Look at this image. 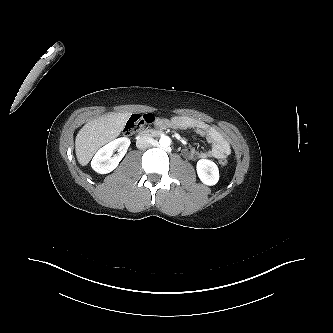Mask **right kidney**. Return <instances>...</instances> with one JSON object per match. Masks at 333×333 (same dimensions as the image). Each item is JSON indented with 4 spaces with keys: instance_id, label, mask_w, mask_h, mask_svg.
<instances>
[{
    "instance_id": "obj_1",
    "label": "right kidney",
    "mask_w": 333,
    "mask_h": 333,
    "mask_svg": "<svg viewBox=\"0 0 333 333\" xmlns=\"http://www.w3.org/2000/svg\"><path fill=\"white\" fill-rule=\"evenodd\" d=\"M130 145V139L126 137L118 138L103 146L95 154L91 161L92 169L99 174H107L113 171L122 160ZM118 153L113 155V152Z\"/></svg>"
}]
</instances>
